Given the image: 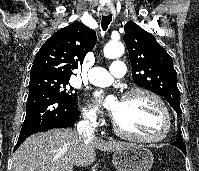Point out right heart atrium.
I'll return each instance as SVG.
<instances>
[{
    "mask_svg": "<svg viewBox=\"0 0 199 171\" xmlns=\"http://www.w3.org/2000/svg\"><path fill=\"white\" fill-rule=\"evenodd\" d=\"M82 116L84 121L93 127H99L103 124V120L99 118L96 111L91 107H83Z\"/></svg>",
    "mask_w": 199,
    "mask_h": 171,
    "instance_id": "d8ad5b80",
    "label": "right heart atrium"
}]
</instances>
